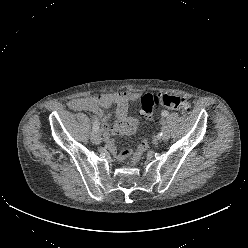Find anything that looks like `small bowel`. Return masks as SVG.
<instances>
[{
  "label": "small bowel",
  "mask_w": 248,
  "mask_h": 248,
  "mask_svg": "<svg viewBox=\"0 0 248 248\" xmlns=\"http://www.w3.org/2000/svg\"><path fill=\"white\" fill-rule=\"evenodd\" d=\"M139 94L136 92H112L102 93L89 97L76 98L69 102V107L73 110H93L95 118L101 123L104 139L109 151L117 157L118 160H123L124 156L130 155L129 147H122L121 153L117 154V148L112 139V135L132 134L136 131L138 121L128 113V105L130 102L137 101ZM116 105L117 122L110 126L109 116L105 115L102 109L109 108L111 105Z\"/></svg>",
  "instance_id": "small-bowel-1"
}]
</instances>
